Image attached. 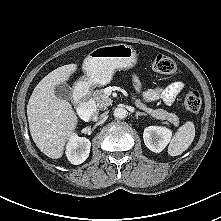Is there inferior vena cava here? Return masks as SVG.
I'll return each instance as SVG.
<instances>
[{"label": "inferior vena cava", "mask_w": 221, "mask_h": 221, "mask_svg": "<svg viewBox=\"0 0 221 221\" xmlns=\"http://www.w3.org/2000/svg\"><path fill=\"white\" fill-rule=\"evenodd\" d=\"M105 116H106V113L101 114L100 117H99L100 120H103L105 118Z\"/></svg>", "instance_id": "inferior-vena-cava-1"}]
</instances>
